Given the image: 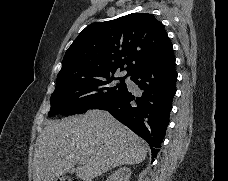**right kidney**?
<instances>
[{"label": "right kidney", "instance_id": "obj_1", "mask_svg": "<svg viewBox=\"0 0 228 181\" xmlns=\"http://www.w3.org/2000/svg\"><path fill=\"white\" fill-rule=\"evenodd\" d=\"M131 171L128 167H122L118 171H114L107 181H130Z\"/></svg>", "mask_w": 228, "mask_h": 181}]
</instances>
